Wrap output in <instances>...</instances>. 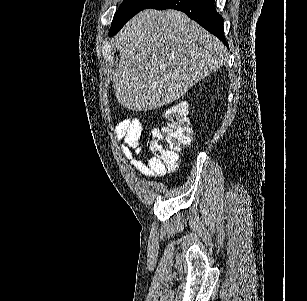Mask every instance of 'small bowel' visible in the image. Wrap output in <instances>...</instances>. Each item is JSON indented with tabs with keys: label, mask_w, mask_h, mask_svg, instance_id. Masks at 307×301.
I'll use <instances>...</instances> for the list:
<instances>
[{
	"label": "small bowel",
	"mask_w": 307,
	"mask_h": 301,
	"mask_svg": "<svg viewBox=\"0 0 307 301\" xmlns=\"http://www.w3.org/2000/svg\"><path fill=\"white\" fill-rule=\"evenodd\" d=\"M142 133L143 126L138 119H126L114 128L115 137L122 141L124 156L140 174L149 178L163 176L166 169L158 158L149 157L146 162L140 159L144 153L141 144Z\"/></svg>",
	"instance_id": "c3829d8e"
}]
</instances>
